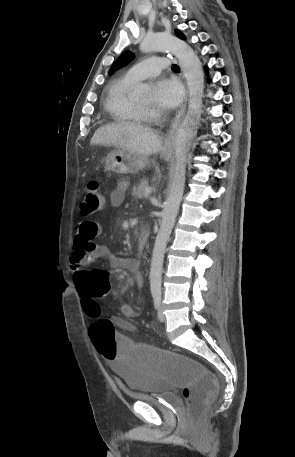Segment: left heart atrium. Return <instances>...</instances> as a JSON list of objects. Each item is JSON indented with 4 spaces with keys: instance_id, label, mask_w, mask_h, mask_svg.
I'll return each mask as SVG.
<instances>
[{
    "instance_id": "1",
    "label": "left heart atrium",
    "mask_w": 295,
    "mask_h": 457,
    "mask_svg": "<svg viewBox=\"0 0 295 457\" xmlns=\"http://www.w3.org/2000/svg\"><path fill=\"white\" fill-rule=\"evenodd\" d=\"M182 89L172 79H160L154 89V103L163 110H170L179 105L182 100Z\"/></svg>"
}]
</instances>
